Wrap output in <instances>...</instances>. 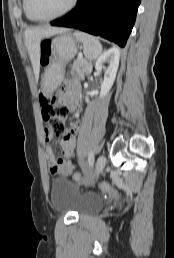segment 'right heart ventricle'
Wrapping results in <instances>:
<instances>
[{
	"label": "right heart ventricle",
	"instance_id": "obj_1",
	"mask_svg": "<svg viewBox=\"0 0 174 258\" xmlns=\"http://www.w3.org/2000/svg\"><path fill=\"white\" fill-rule=\"evenodd\" d=\"M23 8H24V12H25L26 16H27L29 19H31V18L27 15V13H26V11H25L24 0H23Z\"/></svg>",
	"mask_w": 174,
	"mask_h": 258
}]
</instances>
